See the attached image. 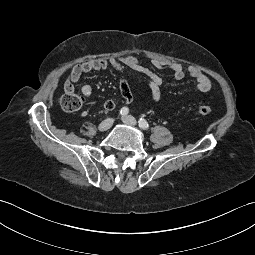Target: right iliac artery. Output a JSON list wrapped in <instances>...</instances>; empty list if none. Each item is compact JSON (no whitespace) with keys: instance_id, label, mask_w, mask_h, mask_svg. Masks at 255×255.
<instances>
[{"instance_id":"right-iliac-artery-1","label":"right iliac artery","mask_w":255,"mask_h":255,"mask_svg":"<svg viewBox=\"0 0 255 255\" xmlns=\"http://www.w3.org/2000/svg\"><path fill=\"white\" fill-rule=\"evenodd\" d=\"M128 112H129V109H128L127 107H123V108L120 110V114H121L122 116L127 115Z\"/></svg>"}]
</instances>
